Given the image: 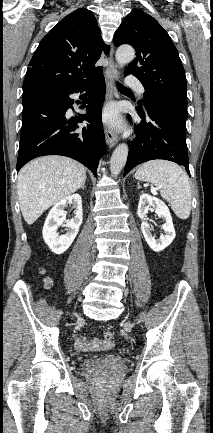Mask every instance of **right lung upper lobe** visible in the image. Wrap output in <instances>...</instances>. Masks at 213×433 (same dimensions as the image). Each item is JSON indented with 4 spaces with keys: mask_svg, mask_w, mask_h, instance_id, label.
Here are the masks:
<instances>
[{
    "mask_svg": "<svg viewBox=\"0 0 213 433\" xmlns=\"http://www.w3.org/2000/svg\"><path fill=\"white\" fill-rule=\"evenodd\" d=\"M108 54L95 16L79 8L64 17L41 40L26 72L23 89L67 90L101 72L95 67Z\"/></svg>",
    "mask_w": 213,
    "mask_h": 433,
    "instance_id": "right-lung-upper-lobe-1",
    "label": "right lung upper lobe"
}]
</instances>
